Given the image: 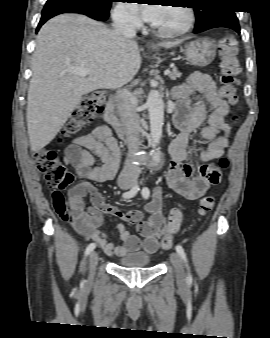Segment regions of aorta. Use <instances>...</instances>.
<instances>
[{"label":"aorta","instance_id":"1","mask_svg":"<svg viewBox=\"0 0 270 338\" xmlns=\"http://www.w3.org/2000/svg\"><path fill=\"white\" fill-rule=\"evenodd\" d=\"M147 107L150 120L151 139L153 144H159L164 124V102L162 96L157 90L150 91L147 98ZM152 161L157 165L161 159V153L158 149L151 151Z\"/></svg>","mask_w":270,"mask_h":338}]
</instances>
